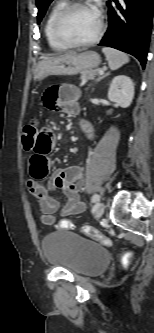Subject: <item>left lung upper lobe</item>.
<instances>
[{"label":"left lung upper lobe","instance_id":"obj_1","mask_svg":"<svg viewBox=\"0 0 154 333\" xmlns=\"http://www.w3.org/2000/svg\"><path fill=\"white\" fill-rule=\"evenodd\" d=\"M51 2H52V0H36V5L38 8V15H37L38 24L40 23L41 19L43 18L44 14L46 13V10Z\"/></svg>","mask_w":154,"mask_h":333}]
</instances>
